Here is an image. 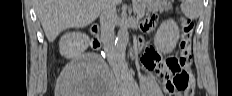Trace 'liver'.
Instances as JSON below:
<instances>
[{
  "label": "liver",
  "mask_w": 232,
  "mask_h": 96,
  "mask_svg": "<svg viewBox=\"0 0 232 96\" xmlns=\"http://www.w3.org/2000/svg\"><path fill=\"white\" fill-rule=\"evenodd\" d=\"M101 7L102 0H35L37 17L49 42L68 28L91 24L99 16Z\"/></svg>",
  "instance_id": "1"
}]
</instances>
